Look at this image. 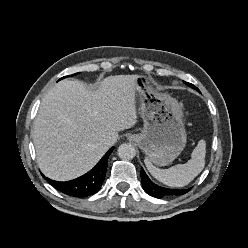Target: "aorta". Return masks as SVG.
I'll return each mask as SVG.
<instances>
[{"label":"aorta","instance_id":"aorta-1","mask_svg":"<svg viewBox=\"0 0 248 248\" xmlns=\"http://www.w3.org/2000/svg\"><path fill=\"white\" fill-rule=\"evenodd\" d=\"M136 155V149L133 145L125 143L118 147V156L124 160H131Z\"/></svg>","mask_w":248,"mask_h":248}]
</instances>
